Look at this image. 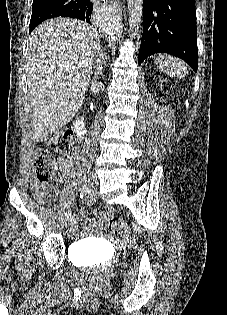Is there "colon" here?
<instances>
[{"mask_svg": "<svg viewBox=\"0 0 227 315\" xmlns=\"http://www.w3.org/2000/svg\"><path fill=\"white\" fill-rule=\"evenodd\" d=\"M72 144L71 132L66 129H59L46 139L45 146L35 149L31 175L33 185L46 187L54 171L53 152L65 156L69 153ZM109 229L116 235L130 236V229L122 219H111Z\"/></svg>", "mask_w": 227, "mask_h": 315, "instance_id": "colon-1", "label": "colon"}]
</instances>
